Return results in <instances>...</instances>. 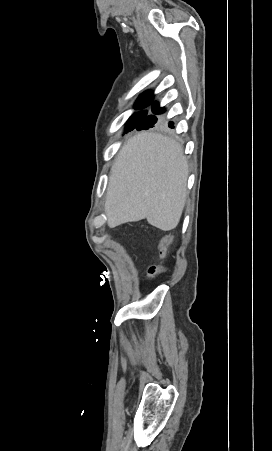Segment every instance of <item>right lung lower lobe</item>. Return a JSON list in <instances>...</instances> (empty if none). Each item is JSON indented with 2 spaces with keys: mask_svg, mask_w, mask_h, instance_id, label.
Listing matches in <instances>:
<instances>
[{
  "mask_svg": "<svg viewBox=\"0 0 272 451\" xmlns=\"http://www.w3.org/2000/svg\"><path fill=\"white\" fill-rule=\"evenodd\" d=\"M152 112L154 114H162L164 112V109L160 108L158 106L157 102H155L152 105ZM157 121H158L157 116L148 115L144 119H142L140 122L130 126L128 130H132L133 128H137L138 130L148 129V128H151ZM169 127H171V128L174 127L173 122H169Z\"/></svg>",
  "mask_w": 272,
  "mask_h": 451,
  "instance_id": "right-lung-lower-lobe-1",
  "label": "right lung lower lobe"
}]
</instances>
